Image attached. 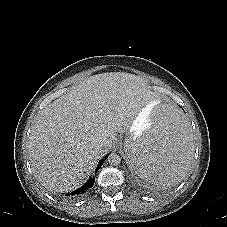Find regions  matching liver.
<instances>
[{"label":"liver","instance_id":"obj_1","mask_svg":"<svg viewBox=\"0 0 227 227\" xmlns=\"http://www.w3.org/2000/svg\"><path fill=\"white\" fill-rule=\"evenodd\" d=\"M151 101L139 76L110 72L90 76L45 107L32 127L29 152L35 176L52 192L83 185L97 160L127 131ZM104 142L100 149L94 144Z\"/></svg>","mask_w":227,"mask_h":227}]
</instances>
